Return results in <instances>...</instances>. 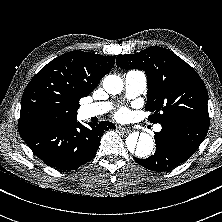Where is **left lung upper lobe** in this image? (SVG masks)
Listing matches in <instances>:
<instances>
[{"label":"left lung upper lobe","instance_id":"obj_1","mask_svg":"<svg viewBox=\"0 0 222 222\" xmlns=\"http://www.w3.org/2000/svg\"><path fill=\"white\" fill-rule=\"evenodd\" d=\"M117 66L144 70L148 78L145 109L148 120L162 123L172 118L209 121L208 94L198 73L168 49L152 46L136 54L117 56Z\"/></svg>","mask_w":222,"mask_h":222}]
</instances>
